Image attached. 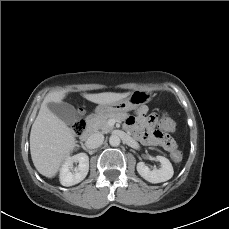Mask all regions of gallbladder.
<instances>
[{"mask_svg": "<svg viewBox=\"0 0 229 229\" xmlns=\"http://www.w3.org/2000/svg\"><path fill=\"white\" fill-rule=\"evenodd\" d=\"M48 108L67 125L74 124L78 119V115L75 108L68 103L50 102L48 103Z\"/></svg>", "mask_w": 229, "mask_h": 229, "instance_id": "1", "label": "gallbladder"}]
</instances>
